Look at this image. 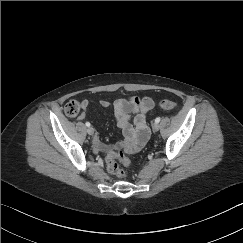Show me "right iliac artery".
Segmentation results:
<instances>
[{"mask_svg":"<svg viewBox=\"0 0 243 243\" xmlns=\"http://www.w3.org/2000/svg\"><path fill=\"white\" fill-rule=\"evenodd\" d=\"M86 126H87V127H90L91 124H90L89 122H86Z\"/></svg>","mask_w":243,"mask_h":243,"instance_id":"obj_1","label":"right iliac artery"}]
</instances>
